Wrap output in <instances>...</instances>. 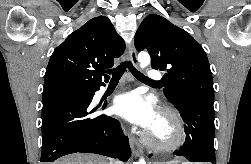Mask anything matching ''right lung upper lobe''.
Here are the masks:
<instances>
[{
    "label": "right lung upper lobe",
    "instance_id": "cb5924a9",
    "mask_svg": "<svg viewBox=\"0 0 251 164\" xmlns=\"http://www.w3.org/2000/svg\"><path fill=\"white\" fill-rule=\"evenodd\" d=\"M125 49L123 39L110 20L98 16L71 33L50 57L44 92L58 88L97 89L109 80L106 69Z\"/></svg>",
    "mask_w": 251,
    "mask_h": 164
}]
</instances>
